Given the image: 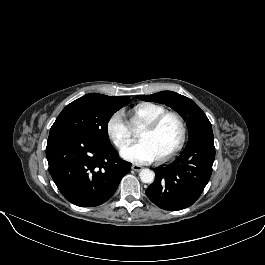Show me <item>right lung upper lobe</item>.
Listing matches in <instances>:
<instances>
[{
  "mask_svg": "<svg viewBox=\"0 0 265 265\" xmlns=\"http://www.w3.org/2000/svg\"><path fill=\"white\" fill-rule=\"evenodd\" d=\"M86 96L98 99L102 102L109 103V104H118L130 100L129 96H122V97H111L107 95L91 93L87 94Z\"/></svg>",
  "mask_w": 265,
  "mask_h": 265,
  "instance_id": "right-lung-upper-lobe-1",
  "label": "right lung upper lobe"
}]
</instances>
